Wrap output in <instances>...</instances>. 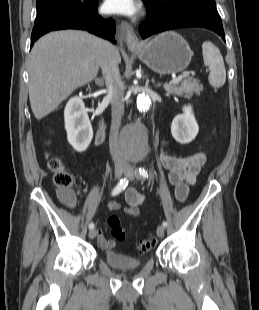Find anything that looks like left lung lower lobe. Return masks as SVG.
Masks as SVG:
<instances>
[{
  "mask_svg": "<svg viewBox=\"0 0 259 310\" xmlns=\"http://www.w3.org/2000/svg\"><path fill=\"white\" fill-rule=\"evenodd\" d=\"M183 27L207 28L216 32L225 41L217 9L204 6L189 7L161 18H154L149 11L147 20L139 26V33L145 39L159 32Z\"/></svg>",
  "mask_w": 259,
  "mask_h": 310,
  "instance_id": "left-lung-lower-lobe-1",
  "label": "left lung lower lobe"
}]
</instances>
